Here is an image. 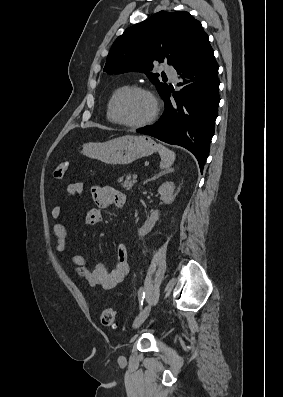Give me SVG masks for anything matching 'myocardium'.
<instances>
[{"mask_svg": "<svg viewBox=\"0 0 283 397\" xmlns=\"http://www.w3.org/2000/svg\"><path fill=\"white\" fill-rule=\"evenodd\" d=\"M134 93L146 94L147 96L150 97V99L152 100V103H153V111H152L151 115L147 119H145L141 122H138V123L127 122L121 117V114H120V104H121L122 100L124 98H126L127 96L134 94ZM159 111H160V105H159V101H158L156 95L150 89H148L144 86H130V87H128L127 89L120 92L116 96V98L114 99V102H113V113H114L117 123L122 126H125L127 128H132V129L142 128V127H145V126L151 124L158 117Z\"/></svg>", "mask_w": 283, "mask_h": 397, "instance_id": "myocardium-1", "label": "myocardium"}]
</instances>
